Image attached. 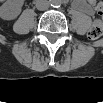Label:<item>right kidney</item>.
Returning <instances> with one entry per match:
<instances>
[{"mask_svg":"<svg viewBox=\"0 0 103 103\" xmlns=\"http://www.w3.org/2000/svg\"><path fill=\"white\" fill-rule=\"evenodd\" d=\"M23 2L8 0L0 7V16L4 20H14L21 12Z\"/></svg>","mask_w":103,"mask_h":103,"instance_id":"right-kidney-1","label":"right kidney"}]
</instances>
